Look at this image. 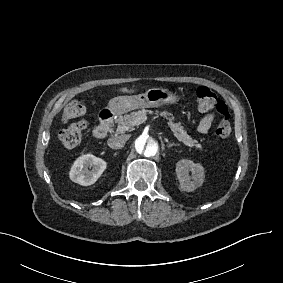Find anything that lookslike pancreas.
<instances>
[{
    "instance_id": "obj_1",
    "label": "pancreas",
    "mask_w": 283,
    "mask_h": 283,
    "mask_svg": "<svg viewBox=\"0 0 283 283\" xmlns=\"http://www.w3.org/2000/svg\"><path fill=\"white\" fill-rule=\"evenodd\" d=\"M152 113V111L142 110L137 112H132L131 114H126L124 116H119L115 123L118 124L116 133L117 134H123L126 131H130L133 129L135 125H138L146 120V113ZM159 112L156 111V114ZM161 116H164L166 119H168V126L174 133V136L181 142H183L185 145L189 147L195 146L196 148L201 149V144L198 143L197 140H194L191 138L190 135L187 134V132L184 130V127L181 125L180 122L175 123L173 122L174 116L167 112L163 111L160 113Z\"/></svg>"
}]
</instances>
